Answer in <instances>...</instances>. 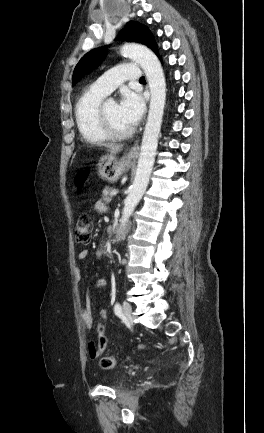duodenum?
Masks as SVG:
<instances>
[{
    "mask_svg": "<svg viewBox=\"0 0 264 433\" xmlns=\"http://www.w3.org/2000/svg\"><path fill=\"white\" fill-rule=\"evenodd\" d=\"M109 233L112 234L113 233V227L109 228Z\"/></svg>",
    "mask_w": 264,
    "mask_h": 433,
    "instance_id": "1",
    "label": "duodenum"
}]
</instances>
